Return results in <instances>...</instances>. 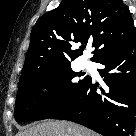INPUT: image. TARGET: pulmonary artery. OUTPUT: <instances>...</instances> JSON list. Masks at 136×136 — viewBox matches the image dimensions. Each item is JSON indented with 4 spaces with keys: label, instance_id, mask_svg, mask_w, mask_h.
Listing matches in <instances>:
<instances>
[{
    "label": "pulmonary artery",
    "instance_id": "1",
    "mask_svg": "<svg viewBox=\"0 0 136 136\" xmlns=\"http://www.w3.org/2000/svg\"><path fill=\"white\" fill-rule=\"evenodd\" d=\"M89 64H90V63H89L88 61H85V62H84V65H85V66H89Z\"/></svg>",
    "mask_w": 136,
    "mask_h": 136
}]
</instances>
